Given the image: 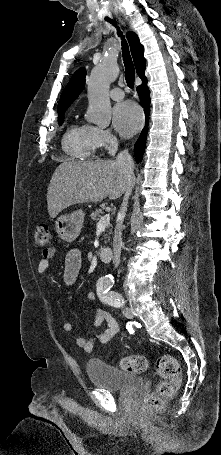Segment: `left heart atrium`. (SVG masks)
I'll list each match as a JSON object with an SVG mask.
<instances>
[{
	"instance_id": "left-heart-atrium-1",
	"label": "left heart atrium",
	"mask_w": 221,
	"mask_h": 455,
	"mask_svg": "<svg viewBox=\"0 0 221 455\" xmlns=\"http://www.w3.org/2000/svg\"><path fill=\"white\" fill-rule=\"evenodd\" d=\"M143 123L140 108L131 101L117 104L113 109V126L123 136L129 137L139 131Z\"/></svg>"
}]
</instances>
